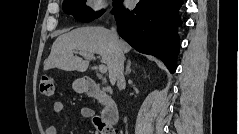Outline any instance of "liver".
I'll return each mask as SVG.
<instances>
[{
	"mask_svg": "<svg viewBox=\"0 0 239 134\" xmlns=\"http://www.w3.org/2000/svg\"><path fill=\"white\" fill-rule=\"evenodd\" d=\"M128 53L131 50L129 44L123 40L116 42L112 32L101 26L81 27L66 34L60 35L52 45L51 52L44 64V70L58 68L65 71L85 72L89 66V60H83L74 56L73 52H87L99 54L101 62L106 64L109 70L111 84H115L113 74V61L115 48Z\"/></svg>",
	"mask_w": 239,
	"mask_h": 134,
	"instance_id": "1",
	"label": "liver"
}]
</instances>
